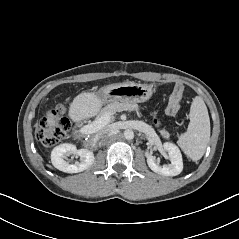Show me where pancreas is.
<instances>
[{
  "label": "pancreas",
  "mask_w": 239,
  "mask_h": 239,
  "mask_svg": "<svg viewBox=\"0 0 239 239\" xmlns=\"http://www.w3.org/2000/svg\"><path fill=\"white\" fill-rule=\"evenodd\" d=\"M123 110H128V111H137L139 110V106L136 103H128V102H113L111 104H108L106 107H104L101 110L100 116L105 114V113H110L111 115L115 114L118 111H123ZM161 136L165 139H169L170 134L168 131L165 129L159 130Z\"/></svg>",
  "instance_id": "pancreas-1"
}]
</instances>
